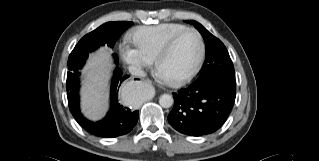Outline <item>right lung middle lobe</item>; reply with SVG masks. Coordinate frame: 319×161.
Listing matches in <instances>:
<instances>
[{
    "label": "right lung middle lobe",
    "instance_id": "dd1d6c3e",
    "mask_svg": "<svg viewBox=\"0 0 319 161\" xmlns=\"http://www.w3.org/2000/svg\"><path fill=\"white\" fill-rule=\"evenodd\" d=\"M130 25H132V22H108L86 34L78 42L68 59L67 90L73 88L79 82L80 73L78 70L83 67L89 52L104 44L113 47L120 35ZM114 57L117 59L116 54H114Z\"/></svg>",
    "mask_w": 319,
    "mask_h": 161
}]
</instances>
